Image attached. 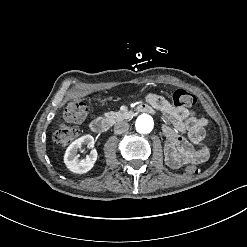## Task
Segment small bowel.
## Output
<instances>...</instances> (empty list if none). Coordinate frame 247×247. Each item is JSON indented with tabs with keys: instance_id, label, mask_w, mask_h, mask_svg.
Masks as SVG:
<instances>
[{
	"instance_id": "c3829d8e",
	"label": "small bowel",
	"mask_w": 247,
	"mask_h": 247,
	"mask_svg": "<svg viewBox=\"0 0 247 247\" xmlns=\"http://www.w3.org/2000/svg\"><path fill=\"white\" fill-rule=\"evenodd\" d=\"M147 102L164 112L170 120L171 125H164L162 133L165 138V160L171 168L176 169L186 164H198L207 160L209 149L203 144L207 125L205 118L196 117L185 107L172 106L165 97L156 93L149 94ZM193 145H196L197 149H194ZM180 153L185 156L182 161L177 160Z\"/></svg>"
}]
</instances>
